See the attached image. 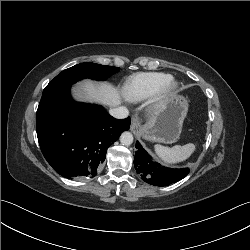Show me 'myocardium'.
I'll return each instance as SVG.
<instances>
[{
    "mask_svg": "<svg viewBox=\"0 0 250 250\" xmlns=\"http://www.w3.org/2000/svg\"><path fill=\"white\" fill-rule=\"evenodd\" d=\"M178 87L179 84L174 79H170L169 81L164 83L153 95V108H158L161 104L168 100L177 91Z\"/></svg>",
    "mask_w": 250,
    "mask_h": 250,
    "instance_id": "myocardium-1",
    "label": "myocardium"
}]
</instances>
